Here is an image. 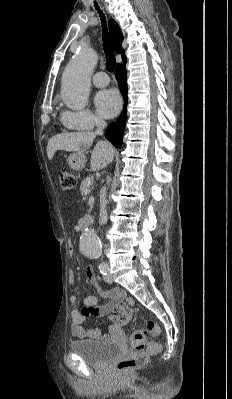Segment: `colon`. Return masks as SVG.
I'll list each match as a JSON object with an SVG mask.
<instances>
[{"label":"colon","mask_w":232,"mask_h":399,"mask_svg":"<svg viewBox=\"0 0 232 399\" xmlns=\"http://www.w3.org/2000/svg\"><path fill=\"white\" fill-rule=\"evenodd\" d=\"M56 169V185H61L62 191L73 189L75 180L73 173L61 171L60 168H66V163H59ZM161 333V326L158 321H149L148 326H136L132 334H129V340H124L122 353H147L146 341H151V337H156ZM139 365H145V358L141 355H120L119 374H134V368Z\"/></svg>","instance_id":"obj_1"}]
</instances>
